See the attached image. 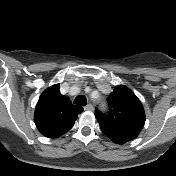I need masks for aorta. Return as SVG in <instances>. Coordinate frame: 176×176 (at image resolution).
Instances as JSON below:
<instances>
[{"label":"aorta","instance_id":"1","mask_svg":"<svg viewBox=\"0 0 176 176\" xmlns=\"http://www.w3.org/2000/svg\"><path fill=\"white\" fill-rule=\"evenodd\" d=\"M97 100H98V102H101V101H100V100H101L100 98H98Z\"/></svg>","mask_w":176,"mask_h":176}]
</instances>
